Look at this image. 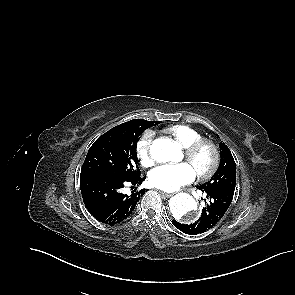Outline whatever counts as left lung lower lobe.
Listing matches in <instances>:
<instances>
[{
    "instance_id": "0a47b994",
    "label": "left lung lower lobe",
    "mask_w": 295,
    "mask_h": 295,
    "mask_svg": "<svg viewBox=\"0 0 295 295\" xmlns=\"http://www.w3.org/2000/svg\"><path fill=\"white\" fill-rule=\"evenodd\" d=\"M198 189L204 192L207 198L200 218L191 224L172 221L177 229L190 235L201 234L216 226L228 210L234 195V191L228 189H204L200 186Z\"/></svg>"
}]
</instances>
